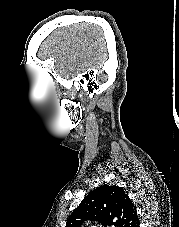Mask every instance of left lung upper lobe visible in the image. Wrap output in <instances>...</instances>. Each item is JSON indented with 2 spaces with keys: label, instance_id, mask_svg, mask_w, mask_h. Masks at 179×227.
<instances>
[{
  "label": "left lung upper lobe",
  "instance_id": "1",
  "mask_svg": "<svg viewBox=\"0 0 179 227\" xmlns=\"http://www.w3.org/2000/svg\"><path fill=\"white\" fill-rule=\"evenodd\" d=\"M98 221L103 226L138 227L134 204L118 186H100L91 191L72 212L66 227H80L85 221Z\"/></svg>",
  "mask_w": 179,
  "mask_h": 227
}]
</instances>
